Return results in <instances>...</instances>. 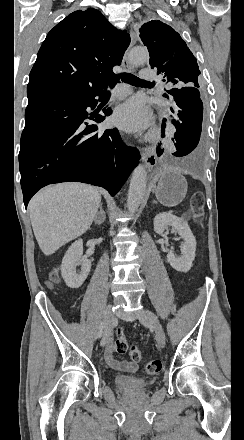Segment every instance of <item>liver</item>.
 <instances>
[{"mask_svg": "<svg viewBox=\"0 0 244 440\" xmlns=\"http://www.w3.org/2000/svg\"><path fill=\"white\" fill-rule=\"evenodd\" d=\"M101 204L97 188L86 184H54L33 196L30 220L45 256L89 230Z\"/></svg>", "mask_w": 244, "mask_h": 440, "instance_id": "1", "label": "liver"}]
</instances>
